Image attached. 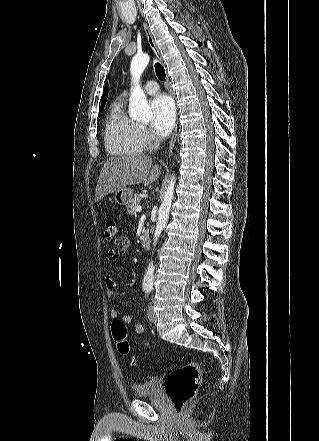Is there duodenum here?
<instances>
[{
    "label": "duodenum",
    "instance_id": "duodenum-1",
    "mask_svg": "<svg viewBox=\"0 0 319 441\" xmlns=\"http://www.w3.org/2000/svg\"><path fill=\"white\" fill-rule=\"evenodd\" d=\"M141 242L144 248H149L150 246V232L149 231H144L142 236H141Z\"/></svg>",
    "mask_w": 319,
    "mask_h": 441
}]
</instances>
